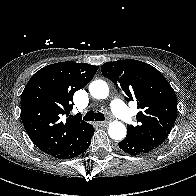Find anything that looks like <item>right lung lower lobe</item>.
I'll list each match as a JSON object with an SVG mask.
<instances>
[{
	"label": "right lung lower lobe",
	"instance_id": "98d812e1",
	"mask_svg": "<svg viewBox=\"0 0 196 196\" xmlns=\"http://www.w3.org/2000/svg\"><path fill=\"white\" fill-rule=\"evenodd\" d=\"M93 133L94 128L93 125L90 124L84 131L78 134L67 147L51 155L58 159H71L84 153L90 146Z\"/></svg>",
	"mask_w": 196,
	"mask_h": 196
}]
</instances>
